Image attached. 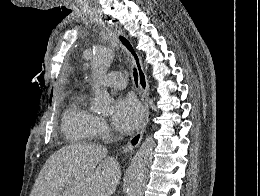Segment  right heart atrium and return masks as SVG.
Listing matches in <instances>:
<instances>
[{"instance_id":"right-heart-atrium-1","label":"right heart atrium","mask_w":260,"mask_h":196,"mask_svg":"<svg viewBox=\"0 0 260 196\" xmlns=\"http://www.w3.org/2000/svg\"><path fill=\"white\" fill-rule=\"evenodd\" d=\"M96 129H107L106 121L103 118H97L95 122ZM133 163V162H132ZM60 192H84V190H58Z\"/></svg>"}]
</instances>
